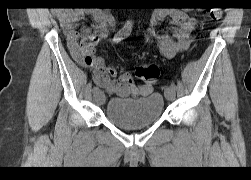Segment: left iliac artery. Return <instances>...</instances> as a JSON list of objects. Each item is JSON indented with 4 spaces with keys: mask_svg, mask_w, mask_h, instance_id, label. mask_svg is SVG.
I'll return each instance as SVG.
<instances>
[{
    "mask_svg": "<svg viewBox=\"0 0 251 180\" xmlns=\"http://www.w3.org/2000/svg\"><path fill=\"white\" fill-rule=\"evenodd\" d=\"M170 87H171L172 89H174V90H175V89H176V85H175V83H173V82H172V83L170 84Z\"/></svg>",
    "mask_w": 251,
    "mask_h": 180,
    "instance_id": "44dca946",
    "label": "left iliac artery"
}]
</instances>
